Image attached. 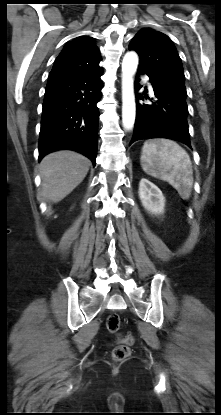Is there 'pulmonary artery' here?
Here are the masks:
<instances>
[{"label": "pulmonary artery", "mask_w": 221, "mask_h": 415, "mask_svg": "<svg viewBox=\"0 0 221 415\" xmlns=\"http://www.w3.org/2000/svg\"><path fill=\"white\" fill-rule=\"evenodd\" d=\"M148 87H149V89L152 91V87H151V85H150V84H148Z\"/></svg>", "instance_id": "obj_1"}]
</instances>
